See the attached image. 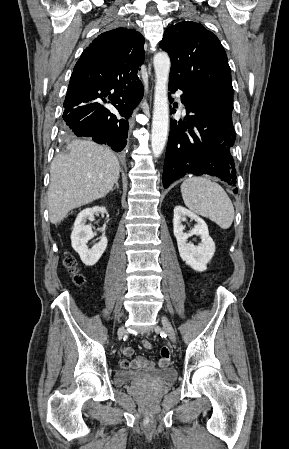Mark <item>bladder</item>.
<instances>
[{"label":"bladder","mask_w":289,"mask_h":449,"mask_svg":"<svg viewBox=\"0 0 289 449\" xmlns=\"http://www.w3.org/2000/svg\"><path fill=\"white\" fill-rule=\"evenodd\" d=\"M177 378V371L174 368L147 369L144 371H117L114 375V382L117 386L129 383L156 382L169 383Z\"/></svg>","instance_id":"1"}]
</instances>
